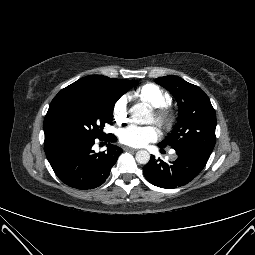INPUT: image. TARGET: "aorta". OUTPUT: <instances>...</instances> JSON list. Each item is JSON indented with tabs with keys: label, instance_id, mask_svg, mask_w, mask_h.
Instances as JSON below:
<instances>
[{
	"label": "aorta",
	"instance_id": "1",
	"mask_svg": "<svg viewBox=\"0 0 255 255\" xmlns=\"http://www.w3.org/2000/svg\"><path fill=\"white\" fill-rule=\"evenodd\" d=\"M129 112L132 121L137 124H148L150 121V112L143 103L134 105ZM135 158L139 164H147L150 160V154L146 150H140L136 153Z\"/></svg>",
	"mask_w": 255,
	"mask_h": 255
}]
</instances>
